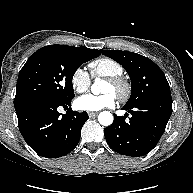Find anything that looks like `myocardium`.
Segmentation results:
<instances>
[{"mask_svg":"<svg viewBox=\"0 0 193 193\" xmlns=\"http://www.w3.org/2000/svg\"><path fill=\"white\" fill-rule=\"evenodd\" d=\"M106 81L116 89V97L119 101L126 102L130 98L132 86L130 81L123 74L106 77Z\"/></svg>","mask_w":193,"mask_h":193,"instance_id":"myocardium-1","label":"myocardium"}]
</instances>
